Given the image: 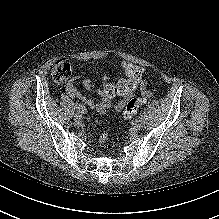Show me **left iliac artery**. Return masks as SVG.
I'll use <instances>...</instances> for the list:
<instances>
[{
	"label": "left iliac artery",
	"mask_w": 219,
	"mask_h": 219,
	"mask_svg": "<svg viewBox=\"0 0 219 219\" xmlns=\"http://www.w3.org/2000/svg\"><path fill=\"white\" fill-rule=\"evenodd\" d=\"M139 118H141V119H142V118H144V116L141 114V115L139 116Z\"/></svg>",
	"instance_id": "obj_1"
}]
</instances>
